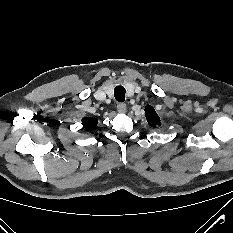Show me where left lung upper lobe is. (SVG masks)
<instances>
[{
    "label": "left lung upper lobe",
    "mask_w": 233,
    "mask_h": 233,
    "mask_svg": "<svg viewBox=\"0 0 233 233\" xmlns=\"http://www.w3.org/2000/svg\"><path fill=\"white\" fill-rule=\"evenodd\" d=\"M145 114H146L147 122L151 127L155 128L160 124V118L152 106L147 105L145 107Z\"/></svg>",
    "instance_id": "5c2ea615"
}]
</instances>
